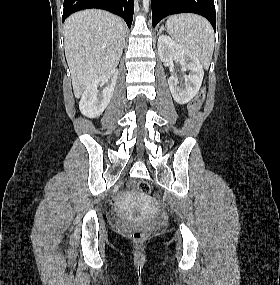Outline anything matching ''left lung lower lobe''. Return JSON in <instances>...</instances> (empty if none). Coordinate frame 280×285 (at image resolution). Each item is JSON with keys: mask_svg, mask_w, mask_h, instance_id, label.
I'll return each instance as SVG.
<instances>
[{"mask_svg": "<svg viewBox=\"0 0 280 285\" xmlns=\"http://www.w3.org/2000/svg\"><path fill=\"white\" fill-rule=\"evenodd\" d=\"M151 4L153 27L168 15L189 12L207 18L216 31L214 0H151Z\"/></svg>", "mask_w": 280, "mask_h": 285, "instance_id": "obj_1", "label": "left lung lower lobe"}]
</instances>
